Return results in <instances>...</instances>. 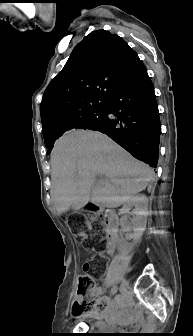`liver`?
Wrapping results in <instances>:
<instances>
[{
  "label": "liver",
  "mask_w": 193,
  "mask_h": 336,
  "mask_svg": "<svg viewBox=\"0 0 193 336\" xmlns=\"http://www.w3.org/2000/svg\"><path fill=\"white\" fill-rule=\"evenodd\" d=\"M53 198L58 214L88 202L116 208L143 191L154 171L108 136L79 130L59 140L51 153ZM98 175L107 179L96 181Z\"/></svg>",
  "instance_id": "obj_1"
}]
</instances>
